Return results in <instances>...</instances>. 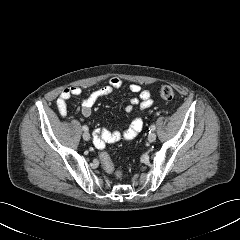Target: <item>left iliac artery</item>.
I'll use <instances>...</instances> for the list:
<instances>
[{
	"label": "left iliac artery",
	"mask_w": 240,
	"mask_h": 240,
	"mask_svg": "<svg viewBox=\"0 0 240 240\" xmlns=\"http://www.w3.org/2000/svg\"><path fill=\"white\" fill-rule=\"evenodd\" d=\"M155 129H156L155 125H151L150 128H149L150 132L154 131Z\"/></svg>",
	"instance_id": "obj_1"
}]
</instances>
